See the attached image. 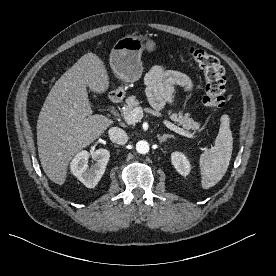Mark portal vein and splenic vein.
<instances>
[{
  "label": "portal vein and splenic vein",
  "mask_w": 276,
  "mask_h": 276,
  "mask_svg": "<svg viewBox=\"0 0 276 276\" xmlns=\"http://www.w3.org/2000/svg\"><path fill=\"white\" fill-rule=\"evenodd\" d=\"M142 117H143V109L141 107H136L130 112V114L124 116V119L128 124H135L136 122L140 121L142 119ZM162 122L167 128L171 129L172 131H174L182 136L192 138V139L196 138V136L193 133H190V132L174 125L173 123H171L170 121H168L166 119H164Z\"/></svg>",
  "instance_id": "1"
}]
</instances>
